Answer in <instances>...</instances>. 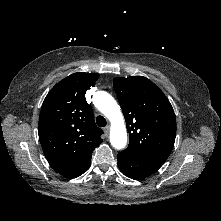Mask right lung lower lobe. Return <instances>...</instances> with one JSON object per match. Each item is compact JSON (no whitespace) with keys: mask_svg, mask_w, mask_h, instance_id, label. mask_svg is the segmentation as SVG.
I'll list each match as a JSON object with an SVG mask.
<instances>
[{"mask_svg":"<svg viewBox=\"0 0 221 221\" xmlns=\"http://www.w3.org/2000/svg\"><path fill=\"white\" fill-rule=\"evenodd\" d=\"M90 166V165H89ZM89 166L87 167V168H85L83 171H81L79 174H77L75 177H78V176H80L81 174H83L88 168H89ZM75 177H73V178H75Z\"/></svg>","mask_w":221,"mask_h":221,"instance_id":"right-lung-lower-lobe-1","label":"right lung lower lobe"}]
</instances>
